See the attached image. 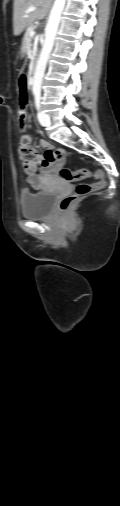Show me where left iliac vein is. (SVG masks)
I'll list each match as a JSON object with an SVG mask.
<instances>
[{
  "mask_svg": "<svg viewBox=\"0 0 120 506\" xmlns=\"http://www.w3.org/2000/svg\"><path fill=\"white\" fill-rule=\"evenodd\" d=\"M38 120H39V123L42 125V126H47L48 124V120H47V117L45 114H43L42 112H38Z\"/></svg>",
  "mask_w": 120,
  "mask_h": 506,
  "instance_id": "4c4485c4",
  "label": "left iliac vein"
}]
</instances>
